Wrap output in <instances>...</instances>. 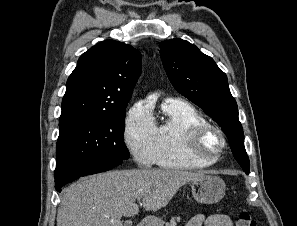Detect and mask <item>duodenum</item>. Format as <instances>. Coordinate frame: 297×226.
I'll use <instances>...</instances> for the list:
<instances>
[{"label":"duodenum","instance_id":"410a0bca","mask_svg":"<svg viewBox=\"0 0 297 226\" xmlns=\"http://www.w3.org/2000/svg\"><path fill=\"white\" fill-rule=\"evenodd\" d=\"M137 226H151V221L150 220H142L137 224Z\"/></svg>","mask_w":297,"mask_h":226}]
</instances>
